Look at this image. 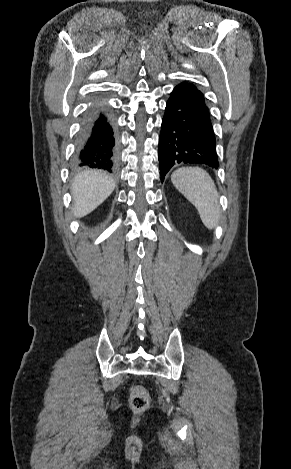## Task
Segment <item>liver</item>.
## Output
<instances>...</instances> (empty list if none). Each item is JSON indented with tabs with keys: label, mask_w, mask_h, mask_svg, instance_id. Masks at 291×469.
<instances>
[{
	"label": "liver",
	"mask_w": 291,
	"mask_h": 469,
	"mask_svg": "<svg viewBox=\"0 0 291 469\" xmlns=\"http://www.w3.org/2000/svg\"><path fill=\"white\" fill-rule=\"evenodd\" d=\"M114 188L115 182L110 176L96 171L79 174L71 186L75 217L81 218L91 213L110 196Z\"/></svg>",
	"instance_id": "6515ba94"
}]
</instances>
